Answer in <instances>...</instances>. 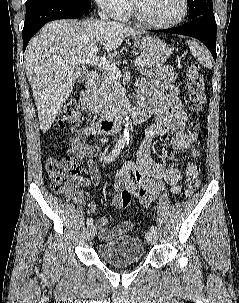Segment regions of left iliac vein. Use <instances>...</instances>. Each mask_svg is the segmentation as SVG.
I'll use <instances>...</instances> for the list:
<instances>
[{
    "mask_svg": "<svg viewBox=\"0 0 239 303\" xmlns=\"http://www.w3.org/2000/svg\"><path fill=\"white\" fill-rule=\"evenodd\" d=\"M146 240L150 245H155L157 242V234L154 231H148L146 233Z\"/></svg>",
    "mask_w": 239,
    "mask_h": 303,
    "instance_id": "4c4485c4",
    "label": "left iliac vein"
}]
</instances>
